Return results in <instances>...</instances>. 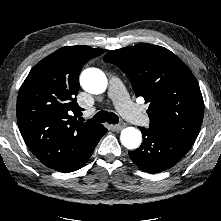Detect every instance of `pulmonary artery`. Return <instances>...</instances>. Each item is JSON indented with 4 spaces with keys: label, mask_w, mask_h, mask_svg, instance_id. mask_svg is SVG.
Masks as SVG:
<instances>
[{
    "label": "pulmonary artery",
    "mask_w": 221,
    "mask_h": 221,
    "mask_svg": "<svg viewBox=\"0 0 221 221\" xmlns=\"http://www.w3.org/2000/svg\"><path fill=\"white\" fill-rule=\"evenodd\" d=\"M108 95L114 101L119 112L127 120L141 126L148 124V117L138 106L130 101L124 85L118 78L112 77L110 79Z\"/></svg>",
    "instance_id": "1"
}]
</instances>
